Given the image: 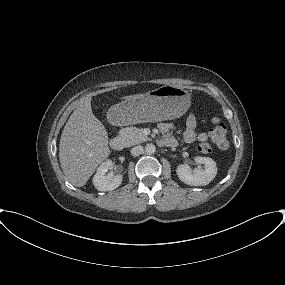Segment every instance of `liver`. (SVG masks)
<instances>
[{"mask_svg": "<svg viewBox=\"0 0 285 285\" xmlns=\"http://www.w3.org/2000/svg\"><path fill=\"white\" fill-rule=\"evenodd\" d=\"M143 94L124 96L131 99ZM108 134L91 109V97L82 99L61 134L59 160L69 182L84 186L97 166L110 154Z\"/></svg>", "mask_w": 285, "mask_h": 285, "instance_id": "1", "label": "liver"}]
</instances>
